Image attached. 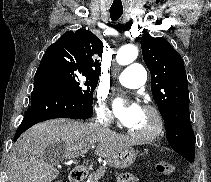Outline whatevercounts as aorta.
I'll return each mask as SVG.
<instances>
[{"label": "aorta", "instance_id": "obj_1", "mask_svg": "<svg viewBox=\"0 0 211 182\" xmlns=\"http://www.w3.org/2000/svg\"><path fill=\"white\" fill-rule=\"evenodd\" d=\"M138 56V48L134 45L122 46L116 56V61L120 65H128L132 63Z\"/></svg>", "mask_w": 211, "mask_h": 182}]
</instances>
